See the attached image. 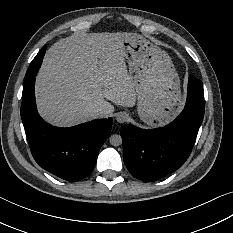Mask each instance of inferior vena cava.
<instances>
[{"label":"inferior vena cava","mask_w":233,"mask_h":233,"mask_svg":"<svg viewBox=\"0 0 233 233\" xmlns=\"http://www.w3.org/2000/svg\"><path fill=\"white\" fill-rule=\"evenodd\" d=\"M106 114H107V112L104 108H94L91 111V115L94 119L103 118Z\"/></svg>","instance_id":"1"}]
</instances>
